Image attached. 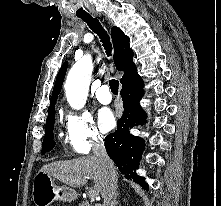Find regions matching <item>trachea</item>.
I'll return each mask as SVG.
<instances>
[{"label":"trachea","instance_id":"3493384b","mask_svg":"<svg viewBox=\"0 0 221 206\" xmlns=\"http://www.w3.org/2000/svg\"><path fill=\"white\" fill-rule=\"evenodd\" d=\"M84 22L87 23V25L99 36L101 39V42L103 43L104 49L106 50V54L108 56H111V51H112V45L110 42V37L106 33V31L103 29L102 25L100 22L96 19L93 18L92 16H81L80 17ZM109 85L111 88V91L114 95L118 94V88H119V82L115 79H112L109 81Z\"/></svg>","mask_w":221,"mask_h":206}]
</instances>
